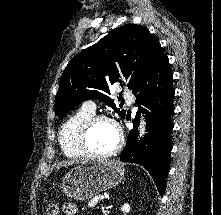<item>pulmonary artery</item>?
Returning a JSON list of instances; mask_svg holds the SVG:
<instances>
[{
  "label": "pulmonary artery",
  "mask_w": 221,
  "mask_h": 215,
  "mask_svg": "<svg viewBox=\"0 0 221 215\" xmlns=\"http://www.w3.org/2000/svg\"><path fill=\"white\" fill-rule=\"evenodd\" d=\"M124 97H125L129 102H131L132 96L130 95V93L125 92V93H124ZM83 108H85V109L88 110V111L95 112V110H96V105H95V103H94L93 101H86V102L83 104Z\"/></svg>",
  "instance_id": "e3ab8cb5"
}]
</instances>
